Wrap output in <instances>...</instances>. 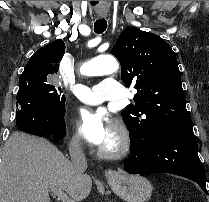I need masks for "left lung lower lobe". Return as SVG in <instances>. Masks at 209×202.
<instances>
[{
	"mask_svg": "<svg viewBox=\"0 0 209 202\" xmlns=\"http://www.w3.org/2000/svg\"><path fill=\"white\" fill-rule=\"evenodd\" d=\"M131 157L124 169L131 174L170 173L195 181L206 193V177L198 157L192 127L164 135L152 143L130 141Z\"/></svg>",
	"mask_w": 209,
	"mask_h": 202,
	"instance_id": "left-lung-lower-lobe-1",
	"label": "left lung lower lobe"
}]
</instances>
